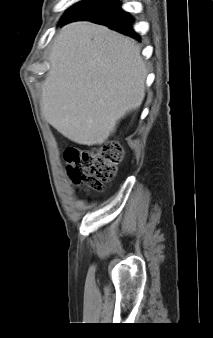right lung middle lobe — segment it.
Segmentation results:
<instances>
[{"label":"right lung middle lobe","instance_id":"obj_1","mask_svg":"<svg viewBox=\"0 0 213 338\" xmlns=\"http://www.w3.org/2000/svg\"><path fill=\"white\" fill-rule=\"evenodd\" d=\"M93 0H82L80 2H77L73 6H71L66 13L63 15L61 22H63L66 18H68L73 12H75L77 9L82 7L83 5L92 2Z\"/></svg>","mask_w":213,"mask_h":338}]
</instances>
